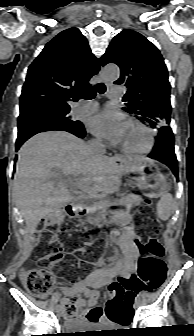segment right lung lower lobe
<instances>
[{"mask_svg":"<svg viewBox=\"0 0 194 336\" xmlns=\"http://www.w3.org/2000/svg\"><path fill=\"white\" fill-rule=\"evenodd\" d=\"M58 130H62V129H58ZM45 131H50V130H45ZM63 131H67L69 133H72L74 135H76L79 138H84L86 135V131L84 129V126L82 125L81 128L79 129H68V130H63ZM39 132H43V131H38V132H33V133H27V134H23L18 136L17 141H16V151L20 148V146L30 137H32L33 135L39 133Z\"/></svg>","mask_w":194,"mask_h":336,"instance_id":"obj_1","label":"right lung lower lobe"}]
</instances>
